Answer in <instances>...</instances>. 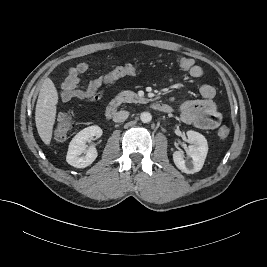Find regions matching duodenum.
Returning <instances> with one entry per match:
<instances>
[{"instance_id": "duodenum-1", "label": "duodenum", "mask_w": 267, "mask_h": 267, "mask_svg": "<svg viewBox=\"0 0 267 267\" xmlns=\"http://www.w3.org/2000/svg\"><path fill=\"white\" fill-rule=\"evenodd\" d=\"M119 102L114 100V101H111L107 106H106V109H105V116L107 118H111L115 115V113L118 111L119 109ZM152 106L155 110L159 111V112H162V113H169L171 112L172 108L171 106H169L168 104H165V103H161V102H153L152 103Z\"/></svg>"}]
</instances>
